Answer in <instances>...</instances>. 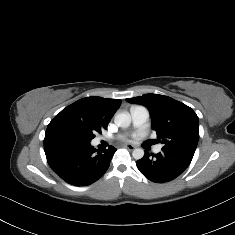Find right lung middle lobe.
<instances>
[{
    "mask_svg": "<svg viewBox=\"0 0 235 235\" xmlns=\"http://www.w3.org/2000/svg\"><path fill=\"white\" fill-rule=\"evenodd\" d=\"M101 129L103 128L98 123L81 120H68L61 126L63 134L85 142H90L96 132L101 133Z\"/></svg>",
    "mask_w": 235,
    "mask_h": 235,
    "instance_id": "right-lung-middle-lobe-1",
    "label": "right lung middle lobe"
}]
</instances>
